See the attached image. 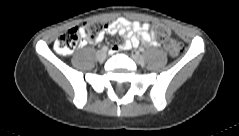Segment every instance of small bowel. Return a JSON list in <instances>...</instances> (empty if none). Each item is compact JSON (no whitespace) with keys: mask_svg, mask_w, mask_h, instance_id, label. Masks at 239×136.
Instances as JSON below:
<instances>
[{"mask_svg":"<svg viewBox=\"0 0 239 136\" xmlns=\"http://www.w3.org/2000/svg\"><path fill=\"white\" fill-rule=\"evenodd\" d=\"M106 34H119L124 37V42L122 44L112 46V53H116L120 50H130L132 48H136L140 43L159 46V43L152 37L148 23L130 21L124 17H120L106 24L105 29L97 38L92 40L85 38L84 42L91 44L99 43L103 40Z\"/></svg>","mask_w":239,"mask_h":136,"instance_id":"c3829d8e","label":"small bowel"}]
</instances>
